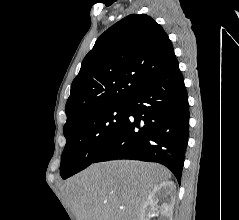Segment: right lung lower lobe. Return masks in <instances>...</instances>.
<instances>
[{"label": "right lung lower lobe", "instance_id": "1", "mask_svg": "<svg viewBox=\"0 0 239 220\" xmlns=\"http://www.w3.org/2000/svg\"><path fill=\"white\" fill-rule=\"evenodd\" d=\"M127 116L93 163L134 159L165 165L180 183L189 105L177 60L126 101Z\"/></svg>", "mask_w": 239, "mask_h": 220}]
</instances>
